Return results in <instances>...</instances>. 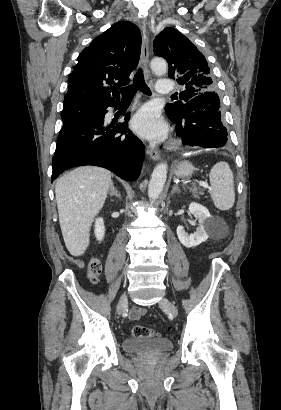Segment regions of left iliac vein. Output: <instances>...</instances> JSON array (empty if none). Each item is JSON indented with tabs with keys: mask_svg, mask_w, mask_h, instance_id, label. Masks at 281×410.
Returning a JSON list of instances; mask_svg holds the SVG:
<instances>
[{
	"mask_svg": "<svg viewBox=\"0 0 281 410\" xmlns=\"http://www.w3.org/2000/svg\"><path fill=\"white\" fill-rule=\"evenodd\" d=\"M160 307L166 309L172 316L176 317L178 315L177 307L167 298H162L159 301Z\"/></svg>",
	"mask_w": 281,
	"mask_h": 410,
	"instance_id": "obj_1",
	"label": "left iliac vein"
}]
</instances>
